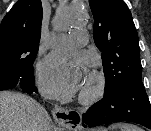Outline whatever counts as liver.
Masks as SVG:
<instances>
[{"label": "liver", "instance_id": "6515ba94", "mask_svg": "<svg viewBox=\"0 0 151 131\" xmlns=\"http://www.w3.org/2000/svg\"><path fill=\"white\" fill-rule=\"evenodd\" d=\"M45 108L33 98L0 92V131H51Z\"/></svg>", "mask_w": 151, "mask_h": 131}]
</instances>
